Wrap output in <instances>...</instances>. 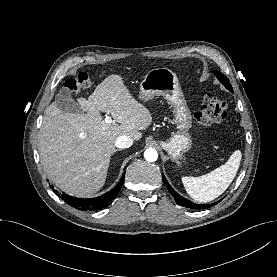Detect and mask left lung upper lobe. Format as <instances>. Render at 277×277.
<instances>
[{
    "label": "left lung upper lobe",
    "instance_id": "5c2ea615",
    "mask_svg": "<svg viewBox=\"0 0 277 277\" xmlns=\"http://www.w3.org/2000/svg\"><path fill=\"white\" fill-rule=\"evenodd\" d=\"M214 74L218 78V80L231 92H233L232 86L230 85L229 80L227 79L226 76H224L222 73L214 71Z\"/></svg>",
    "mask_w": 277,
    "mask_h": 277
}]
</instances>
